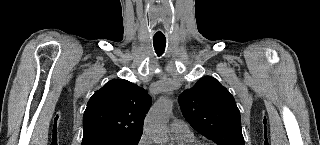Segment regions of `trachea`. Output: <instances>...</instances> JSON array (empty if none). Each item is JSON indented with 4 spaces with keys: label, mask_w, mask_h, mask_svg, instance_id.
Segmentation results:
<instances>
[{
    "label": "trachea",
    "mask_w": 320,
    "mask_h": 145,
    "mask_svg": "<svg viewBox=\"0 0 320 145\" xmlns=\"http://www.w3.org/2000/svg\"><path fill=\"white\" fill-rule=\"evenodd\" d=\"M153 45L155 52L158 56H161L164 53L166 46V38L165 37H153Z\"/></svg>",
    "instance_id": "trachea-1"
}]
</instances>
